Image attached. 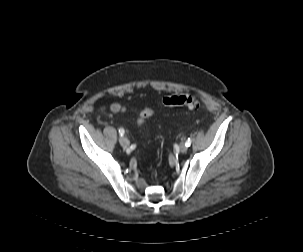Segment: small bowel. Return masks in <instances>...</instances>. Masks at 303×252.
Segmentation results:
<instances>
[{"instance_id":"obj_1","label":"small bowel","mask_w":303,"mask_h":252,"mask_svg":"<svg viewBox=\"0 0 303 252\" xmlns=\"http://www.w3.org/2000/svg\"><path fill=\"white\" fill-rule=\"evenodd\" d=\"M108 109L114 113H122L125 110L124 106L119 103L111 104Z\"/></svg>"}]
</instances>
